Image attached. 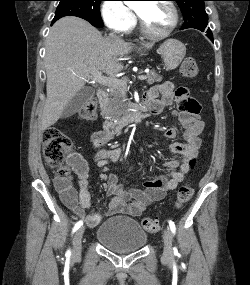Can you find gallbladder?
I'll return each instance as SVG.
<instances>
[{
  "mask_svg": "<svg viewBox=\"0 0 250 285\" xmlns=\"http://www.w3.org/2000/svg\"><path fill=\"white\" fill-rule=\"evenodd\" d=\"M95 94V90L91 87L81 88L71 99L63 111V117H69L81 109Z\"/></svg>",
  "mask_w": 250,
  "mask_h": 285,
  "instance_id": "bac80fb5",
  "label": "gallbladder"
}]
</instances>
